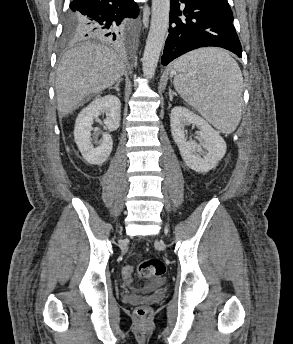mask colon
<instances>
[{
    "instance_id": "5ec220e1",
    "label": "colon",
    "mask_w": 293,
    "mask_h": 344,
    "mask_svg": "<svg viewBox=\"0 0 293 344\" xmlns=\"http://www.w3.org/2000/svg\"><path fill=\"white\" fill-rule=\"evenodd\" d=\"M166 271L165 263L159 258H150L142 261L136 267V272L139 277L144 279H159L164 276ZM124 278L130 279L133 274V267L125 266L123 268ZM136 315L140 319H144L149 315V308L147 306H139L136 309Z\"/></svg>"
}]
</instances>
